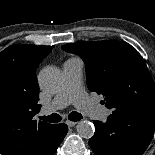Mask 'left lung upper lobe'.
<instances>
[{
  "mask_svg": "<svg viewBox=\"0 0 155 155\" xmlns=\"http://www.w3.org/2000/svg\"><path fill=\"white\" fill-rule=\"evenodd\" d=\"M64 50L86 64L87 86L104 96L102 103L116 115L155 114V85L144 59L124 41L68 43Z\"/></svg>",
  "mask_w": 155,
  "mask_h": 155,
  "instance_id": "1",
  "label": "left lung upper lobe"
}]
</instances>
